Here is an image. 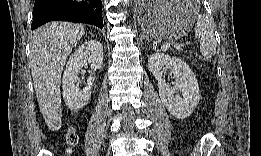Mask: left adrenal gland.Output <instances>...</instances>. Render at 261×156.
Instances as JSON below:
<instances>
[{
  "label": "left adrenal gland",
  "mask_w": 261,
  "mask_h": 156,
  "mask_svg": "<svg viewBox=\"0 0 261 156\" xmlns=\"http://www.w3.org/2000/svg\"><path fill=\"white\" fill-rule=\"evenodd\" d=\"M146 38V40L148 41V39H147V37L145 36V35H143L142 37H141V40H143V39H145Z\"/></svg>",
  "instance_id": "obj_1"
}]
</instances>
